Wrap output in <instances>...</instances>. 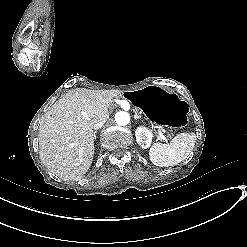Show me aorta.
Instances as JSON below:
<instances>
[{"mask_svg":"<svg viewBox=\"0 0 247 247\" xmlns=\"http://www.w3.org/2000/svg\"><path fill=\"white\" fill-rule=\"evenodd\" d=\"M115 121L117 125L125 126L130 121V115L127 112L119 111L115 114Z\"/></svg>","mask_w":247,"mask_h":247,"instance_id":"762f6f07","label":"aorta"}]
</instances>
